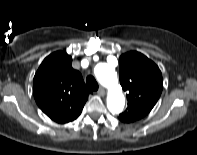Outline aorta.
I'll list each match as a JSON object with an SVG mask.
<instances>
[{
	"mask_svg": "<svg viewBox=\"0 0 197 155\" xmlns=\"http://www.w3.org/2000/svg\"><path fill=\"white\" fill-rule=\"evenodd\" d=\"M94 74L98 81L108 88V110L113 114L122 112L125 105V97L120 85L118 84L117 73L114 67L107 63H99L95 66Z\"/></svg>",
	"mask_w": 197,
	"mask_h": 155,
	"instance_id": "762f6f07",
	"label": "aorta"
}]
</instances>
